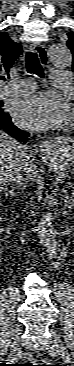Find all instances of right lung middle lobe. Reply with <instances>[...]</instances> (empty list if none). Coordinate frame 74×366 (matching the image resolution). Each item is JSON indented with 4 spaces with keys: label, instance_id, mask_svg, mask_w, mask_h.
<instances>
[{
    "label": "right lung middle lobe",
    "instance_id": "obj_1",
    "mask_svg": "<svg viewBox=\"0 0 74 366\" xmlns=\"http://www.w3.org/2000/svg\"><path fill=\"white\" fill-rule=\"evenodd\" d=\"M3 104H2V102L0 101V107L2 106ZM4 114H6V113H4L2 110H1V108H0V116H2V115H4Z\"/></svg>",
    "mask_w": 74,
    "mask_h": 366
}]
</instances>
